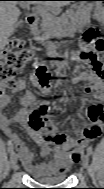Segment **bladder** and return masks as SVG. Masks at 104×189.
I'll list each match as a JSON object with an SVG mask.
<instances>
[{
    "label": "bladder",
    "instance_id": "obj_1",
    "mask_svg": "<svg viewBox=\"0 0 104 189\" xmlns=\"http://www.w3.org/2000/svg\"><path fill=\"white\" fill-rule=\"evenodd\" d=\"M66 172H63L60 168H55L54 170L44 171L41 175H33V178L41 183H59L66 179Z\"/></svg>",
    "mask_w": 104,
    "mask_h": 189
}]
</instances>
